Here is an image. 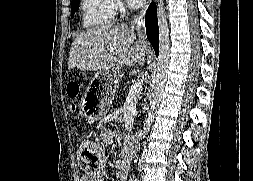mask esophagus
<instances>
[{
  "label": "esophagus",
  "mask_w": 253,
  "mask_h": 181,
  "mask_svg": "<svg viewBox=\"0 0 253 181\" xmlns=\"http://www.w3.org/2000/svg\"><path fill=\"white\" fill-rule=\"evenodd\" d=\"M149 3H150V0H147L146 4H145V6H144V9H143L142 12L140 13V16L137 18V20H139V19L142 17V15H143L144 12L146 11V9H147ZM138 36H139V38H145V27H144V23H143V22L140 23V28H139V30H138Z\"/></svg>",
  "instance_id": "1"
}]
</instances>
